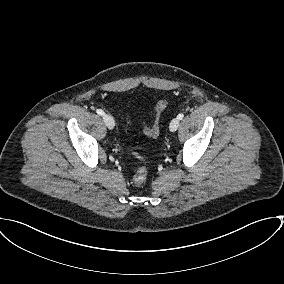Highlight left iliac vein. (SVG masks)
Listing matches in <instances>:
<instances>
[{
	"label": "left iliac vein",
	"instance_id": "1",
	"mask_svg": "<svg viewBox=\"0 0 284 284\" xmlns=\"http://www.w3.org/2000/svg\"><path fill=\"white\" fill-rule=\"evenodd\" d=\"M179 124H180V121H179L178 118L172 119V121H171V123H170V126H169L170 131H171V132H175V131L178 129Z\"/></svg>",
	"mask_w": 284,
	"mask_h": 284
}]
</instances>
